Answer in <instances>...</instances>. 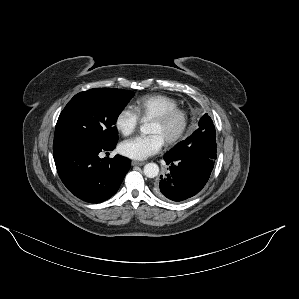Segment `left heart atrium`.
Segmentation results:
<instances>
[{"mask_svg":"<svg viewBox=\"0 0 299 299\" xmlns=\"http://www.w3.org/2000/svg\"><path fill=\"white\" fill-rule=\"evenodd\" d=\"M164 139L161 135L153 133L147 136H136L123 141L119 145V152L134 160H144L158 153L163 147Z\"/></svg>","mask_w":299,"mask_h":299,"instance_id":"left-heart-atrium-1","label":"left heart atrium"}]
</instances>
